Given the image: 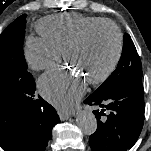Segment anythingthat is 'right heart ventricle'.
Here are the masks:
<instances>
[{"mask_svg": "<svg viewBox=\"0 0 151 151\" xmlns=\"http://www.w3.org/2000/svg\"><path fill=\"white\" fill-rule=\"evenodd\" d=\"M103 20L77 13L57 14L39 20L36 28L41 37L63 52L65 46L88 26Z\"/></svg>", "mask_w": 151, "mask_h": 151, "instance_id": "right-heart-ventricle-1", "label": "right heart ventricle"}]
</instances>
